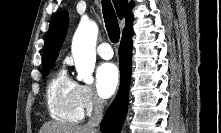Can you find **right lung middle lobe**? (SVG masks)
<instances>
[{
    "label": "right lung middle lobe",
    "instance_id": "obj_1",
    "mask_svg": "<svg viewBox=\"0 0 221 133\" xmlns=\"http://www.w3.org/2000/svg\"><path fill=\"white\" fill-rule=\"evenodd\" d=\"M52 65H53V63L46 64V65L42 66V76H43V78H45L49 74V71H50V68L52 67Z\"/></svg>",
    "mask_w": 221,
    "mask_h": 133
}]
</instances>
